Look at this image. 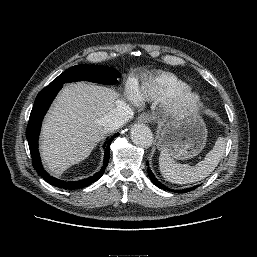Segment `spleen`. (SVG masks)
I'll use <instances>...</instances> for the list:
<instances>
[{
	"label": "spleen",
	"instance_id": "obj_1",
	"mask_svg": "<svg viewBox=\"0 0 257 257\" xmlns=\"http://www.w3.org/2000/svg\"><path fill=\"white\" fill-rule=\"evenodd\" d=\"M225 146V138L219 137L213 149L196 166L176 163L167 150H162L159 157L160 172L165 180L176 184L202 180L216 168L224 155Z\"/></svg>",
	"mask_w": 257,
	"mask_h": 257
}]
</instances>
